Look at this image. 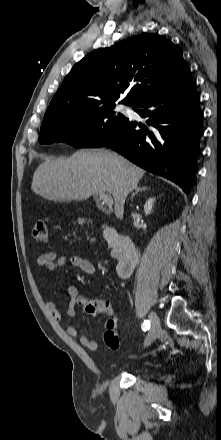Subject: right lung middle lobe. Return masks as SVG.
<instances>
[{
    "label": "right lung middle lobe",
    "instance_id": "obj_1",
    "mask_svg": "<svg viewBox=\"0 0 221 440\" xmlns=\"http://www.w3.org/2000/svg\"><path fill=\"white\" fill-rule=\"evenodd\" d=\"M116 104L96 107L82 104L46 111L40 143L66 142L74 147H102L128 118L115 111Z\"/></svg>",
    "mask_w": 221,
    "mask_h": 440
}]
</instances>
